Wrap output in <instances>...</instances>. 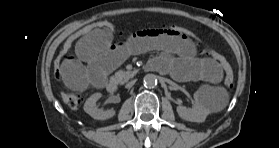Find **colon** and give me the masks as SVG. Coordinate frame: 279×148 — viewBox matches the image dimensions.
I'll list each match as a JSON object with an SVG mask.
<instances>
[{
	"label": "colon",
	"mask_w": 279,
	"mask_h": 148,
	"mask_svg": "<svg viewBox=\"0 0 279 148\" xmlns=\"http://www.w3.org/2000/svg\"><path fill=\"white\" fill-rule=\"evenodd\" d=\"M159 29L180 36L183 39L189 40L190 42L193 43L195 47L199 48L201 53L206 54L214 61H216L223 68L225 72L224 83L226 89L229 91L233 89L234 87L233 71L230 64L222 55H220L219 53L215 52L210 48L203 46L200 40L194 35V33L183 26L174 25V24L163 25ZM94 30H105L111 33L122 34V31L119 29V27H117L113 22L108 20L95 21L78 29L64 41L58 54L55 57L54 70H55L56 77L61 78L62 63L69 56V53L72 50L75 43L81 37L87 35L88 33ZM61 97L64 103L67 106H69L71 109L79 108L83 101V98L79 94L72 93V92H62Z\"/></svg>",
	"instance_id": "1"
}]
</instances>
